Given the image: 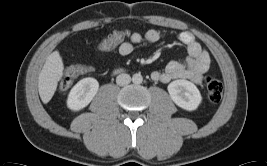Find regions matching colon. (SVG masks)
Here are the masks:
<instances>
[{
  "label": "colon",
  "mask_w": 267,
  "mask_h": 166,
  "mask_svg": "<svg viewBox=\"0 0 267 166\" xmlns=\"http://www.w3.org/2000/svg\"><path fill=\"white\" fill-rule=\"evenodd\" d=\"M128 31L125 28H118L111 36L106 39L101 40L97 48L102 51H107L113 49L115 46H120L127 38H128ZM81 69H85L84 66H79ZM76 77L73 71H69L63 77L60 82V91L62 93H66L71 84L73 79ZM205 86L207 91L208 101L210 103H217L221 100L223 96V85L222 83L213 76H207L205 78Z\"/></svg>",
  "instance_id": "1"
}]
</instances>
